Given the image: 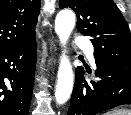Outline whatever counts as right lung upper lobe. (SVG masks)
Instances as JSON below:
<instances>
[{
    "instance_id": "right-lung-upper-lobe-1",
    "label": "right lung upper lobe",
    "mask_w": 131,
    "mask_h": 115,
    "mask_svg": "<svg viewBox=\"0 0 131 115\" xmlns=\"http://www.w3.org/2000/svg\"><path fill=\"white\" fill-rule=\"evenodd\" d=\"M40 0H0V51L35 38Z\"/></svg>"
}]
</instances>
